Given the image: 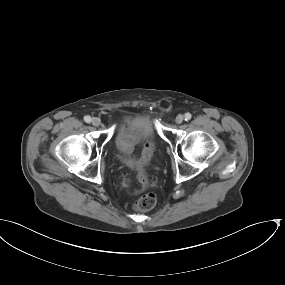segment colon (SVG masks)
<instances>
[{
	"mask_svg": "<svg viewBox=\"0 0 285 285\" xmlns=\"http://www.w3.org/2000/svg\"><path fill=\"white\" fill-rule=\"evenodd\" d=\"M153 153L154 145L151 143V141H148L143 151V159L138 172V178L142 184H147V174L143 168V165L151 159ZM156 201L157 199L155 194L146 193L137 200L135 203V208L139 211H148L154 208Z\"/></svg>",
	"mask_w": 285,
	"mask_h": 285,
	"instance_id": "obj_1",
	"label": "colon"
}]
</instances>
